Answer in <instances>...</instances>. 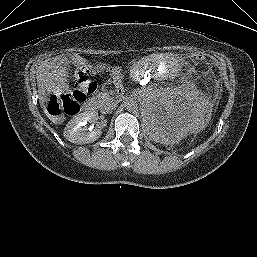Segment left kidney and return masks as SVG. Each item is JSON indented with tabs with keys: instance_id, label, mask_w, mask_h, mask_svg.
<instances>
[{
	"instance_id": "5707ae66",
	"label": "left kidney",
	"mask_w": 257,
	"mask_h": 257,
	"mask_svg": "<svg viewBox=\"0 0 257 257\" xmlns=\"http://www.w3.org/2000/svg\"><path fill=\"white\" fill-rule=\"evenodd\" d=\"M144 116L151 139L164 145L175 144L205 127L206 102L193 89L168 88L147 101Z\"/></svg>"
}]
</instances>
